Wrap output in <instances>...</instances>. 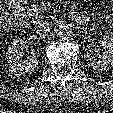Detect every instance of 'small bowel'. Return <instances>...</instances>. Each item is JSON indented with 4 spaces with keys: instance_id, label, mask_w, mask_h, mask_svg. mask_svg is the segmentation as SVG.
<instances>
[{
    "instance_id": "c3829d8e",
    "label": "small bowel",
    "mask_w": 113,
    "mask_h": 113,
    "mask_svg": "<svg viewBox=\"0 0 113 113\" xmlns=\"http://www.w3.org/2000/svg\"><path fill=\"white\" fill-rule=\"evenodd\" d=\"M111 4H113V0H109Z\"/></svg>"
}]
</instances>
